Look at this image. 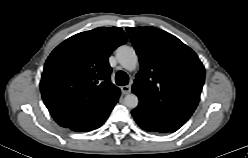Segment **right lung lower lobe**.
Segmentation results:
<instances>
[{"mask_svg":"<svg viewBox=\"0 0 248 158\" xmlns=\"http://www.w3.org/2000/svg\"><path fill=\"white\" fill-rule=\"evenodd\" d=\"M119 98V97H118ZM118 98L117 100L104 112L102 113L100 116L86 122V123H83L81 125H78V126H75V127H72L70 128L71 130L73 131H76V132H82V131H91V130H94L98 127H100L104 122L105 120L108 118V115L109 113L111 112V110L113 109L114 105L117 103L118 101Z\"/></svg>","mask_w":248,"mask_h":158,"instance_id":"1","label":"right lung lower lobe"}]
</instances>
